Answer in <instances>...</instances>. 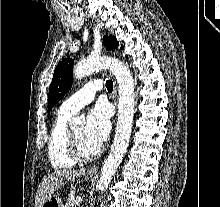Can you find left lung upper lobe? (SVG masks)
I'll use <instances>...</instances> for the list:
<instances>
[{
  "label": "left lung upper lobe",
  "instance_id": "left-lung-upper-lobe-1",
  "mask_svg": "<svg viewBox=\"0 0 220 207\" xmlns=\"http://www.w3.org/2000/svg\"><path fill=\"white\" fill-rule=\"evenodd\" d=\"M106 50L118 47V42L114 36H104ZM123 46H121V49ZM74 60L70 57L62 60L55 68L52 82L49 87L48 110H51L56 103L63 98L72 85Z\"/></svg>",
  "mask_w": 220,
  "mask_h": 207
}]
</instances>
